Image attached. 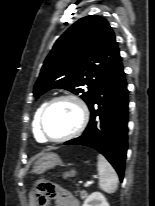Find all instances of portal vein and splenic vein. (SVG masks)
I'll use <instances>...</instances> for the list:
<instances>
[{"label":"portal vein and splenic vein","instance_id":"18ae733b","mask_svg":"<svg viewBox=\"0 0 155 206\" xmlns=\"http://www.w3.org/2000/svg\"><path fill=\"white\" fill-rule=\"evenodd\" d=\"M90 184H91V182H86V183L84 184V186H85V187H89Z\"/></svg>","mask_w":155,"mask_h":206}]
</instances>
